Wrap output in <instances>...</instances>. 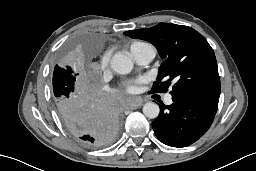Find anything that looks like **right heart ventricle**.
<instances>
[{
  "instance_id": "1",
  "label": "right heart ventricle",
  "mask_w": 256,
  "mask_h": 171,
  "mask_svg": "<svg viewBox=\"0 0 256 171\" xmlns=\"http://www.w3.org/2000/svg\"><path fill=\"white\" fill-rule=\"evenodd\" d=\"M146 45H150V44H148V43H146V42H142V41H135V42H133V43L131 44V46H130L131 54L133 55L134 52H135L138 48H140V47H142V46H146Z\"/></svg>"
}]
</instances>
